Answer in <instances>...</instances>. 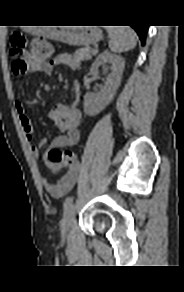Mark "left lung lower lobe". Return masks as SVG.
I'll return each instance as SVG.
<instances>
[{"label": "left lung lower lobe", "mask_w": 184, "mask_h": 292, "mask_svg": "<svg viewBox=\"0 0 184 292\" xmlns=\"http://www.w3.org/2000/svg\"><path fill=\"white\" fill-rule=\"evenodd\" d=\"M131 27H133L135 29L139 38L141 39V43L144 44L145 38H146V33L148 30V26H146V25H132Z\"/></svg>", "instance_id": "1"}]
</instances>
